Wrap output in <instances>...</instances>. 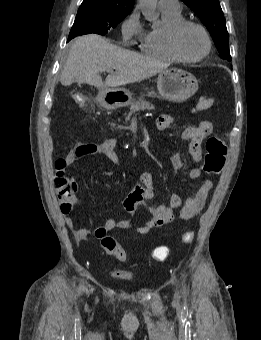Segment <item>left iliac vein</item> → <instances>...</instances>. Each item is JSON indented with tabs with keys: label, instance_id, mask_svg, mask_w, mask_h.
<instances>
[{
	"label": "left iliac vein",
	"instance_id": "obj_1",
	"mask_svg": "<svg viewBox=\"0 0 261 340\" xmlns=\"http://www.w3.org/2000/svg\"><path fill=\"white\" fill-rule=\"evenodd\" d=\"M174 299L177 301L178 300V295H175Z\"/></svg>",
	"mask_w": 261,
	"mask_h": 340
}]
</instances>
